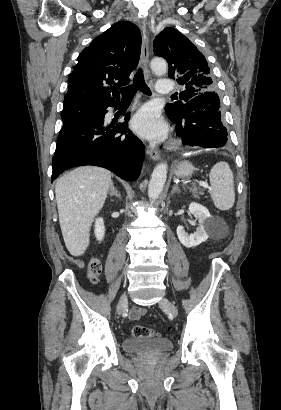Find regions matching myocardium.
Listing matches in <instances>:
<instances>
[{
	"mask_svg": "<svg viewBox=\"0 0 281 410\" xmlns=\"http://www.w3.org/2000/svg\"><path fill=\"white\" fill-rule=\"evenodd\" d=\"M175 145H176V142L173 143V146H175Z\"/></svg>",
	"mask_w": 281,
	"mask_h": 410,
	"instance_id": "obj_1",
	"label": "myocardium"
}]
</instances>
